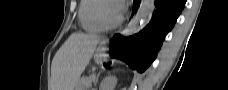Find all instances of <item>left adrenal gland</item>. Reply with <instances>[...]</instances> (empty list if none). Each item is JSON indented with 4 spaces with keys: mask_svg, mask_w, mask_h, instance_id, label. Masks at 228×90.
Here are the masks:
<instances>
[{
    "mask_svg": "<svg viewBox=\"0 0 228 90\" xmlns=\"http://www.w3.org/2000/svg\"><path fill=\"white\" fill-rule=\"evenodd\" d=\"M99 76H100V73H99V74L96 76V78L94 79V85H95V86L97 85Z\"/></svg>",
    "mask_w": 228,
    "mask_h": 90,
    "instance_id": "left-adrenal-gland-1",
    "label": "left adrenal gland"
}]
</instances>
